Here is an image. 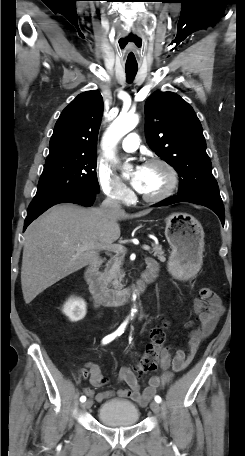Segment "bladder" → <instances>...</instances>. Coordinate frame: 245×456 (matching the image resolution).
Listing matches in <instances>:
<instances>
[{
  "label": "bladder",
  "instance_id": "31cf9c89",
  "mask_svg": "<svg viewBox=\"0 0 245 456\" xmlns=\"http://www.w3.org/2000/svg\"><path fill=\"white\" fill-rule=\"evenodd\" d=\"M97 418L109 427H132L139 422L140 411L130 401L112 399L99 407Z\"/></svg>",
  "mask_w": 245,
  "mask_h": 456
}]
</instances>
